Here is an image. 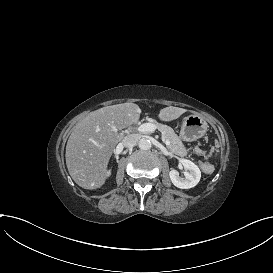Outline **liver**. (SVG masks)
Returning a JSON list of instances; mask_svg holds the SVG:
<instances>
[{
  "mask_svg": "<svg viewBox=\"0 0 273 273\" xmlns=\"http://www.w3.org/2000/svg\"><path fill=\"white\" fill-rule=\"evenodd\" d=\"M187 110L169 106L160 110L162 121H172ZM134 103L106 106L90 112L77 123L66 145V165L72 179L84 189L100 188L107 178V165L126 128L140 117Z\"/></svg>",
  "mask_w": 273,
  "mask_h": 273,
  "instance_id": "obj_1",
  "label": "liver"
}]
</instances>
